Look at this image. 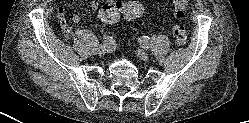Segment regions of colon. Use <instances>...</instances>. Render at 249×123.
Here are the masks:
<instances>
[{"instance_id": "obj_1", "label": "colon", "mask_w": 249, "mask_h": 123, "mask_svg": "<svg viewBox=\"0 0 249 123\" xmlns=\"http://www.w3.org/2000/svg\"><path fill=\"white\" fill-rule=\"evenodd\" d=\"M188 0H173L174 4V18L177 21L172 27V33L175 42L178 45L184 46L187 44V33L185 28L178 22L184 17L185 9ZM144 13V7L140 2H111L103 5L99 12L101 22L105 24H112L120 17L127 20H133L140 17Z\"/></svg>"}]
</instances>
